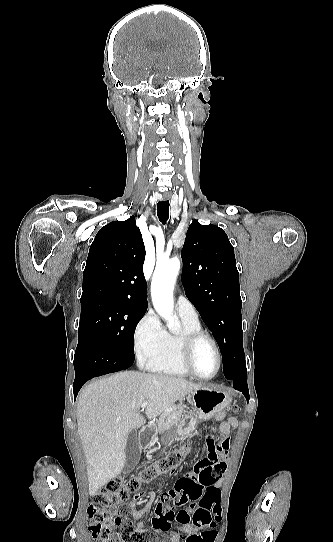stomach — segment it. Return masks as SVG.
Wrapping results in <instances>:
<instances>
[{
	"mask_svg": "<svg viewBox=\"0 0 333 542\" xmlns=\"http://www.w3.org/2000/svg\"><path fill=\"white\" fill-rule=\"evenodd\" d=\"M188 398L191 402L193 412L190 418H185L189 422H182V424H178L176 429L173 430L172 438L174 440L192 441L199 435L198 424L210 420V418L222 412L228 406L229 402H231V398H229L226 392H219V390H213V388L193 390V392L188 394ZM169 438V434H166L164 440H169ZM155 442H157L156 432L148 430L146 438L143 440V448H151Z\"/></svg>",
	"mask_w": 333,
	"mask_h": 542,
	"instance_id": "stomach-1",
	"label": "stomach"
}]
</instances>
